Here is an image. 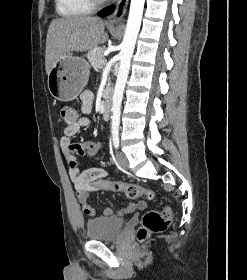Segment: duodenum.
<instances>
[{
    "label": "duodenum",
    "instance_id": "duodenum-1",
    "mask_svg": "<svg viewBox=\"0 0 247 280\" xmlns=\"http://www.w3.org/2000/svg\"><path fill=\"white\" fill-rule=\"evenodd\" d=\"M110 112H111V99L107 95L105 97V101H104L103 107H102V115L105 120H108L110 118Z\"/></svg>",
    "mask_w": 247,
    "mask_h": 280
}]
</instances>
